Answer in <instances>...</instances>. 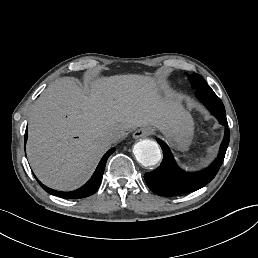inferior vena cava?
<instances>
[{"mask_svg":"<svg viewBox=\"0 0 258 258\" xmlns=\"http://www.w3.org/2000/svg\"><path fill=\"white\" fill-rule=\"evenodd\" d=\"M121 138V134L118 131H111L108 132L106 136V140L109 141L110 143H117Z\"/></svg>","mask_w":258,"mask_h":258,"instance_id":"obj_1","label":"inferior vena cava"}]
</instances>
